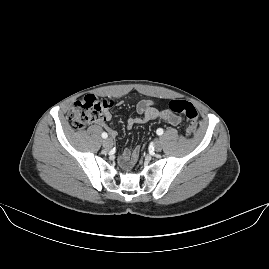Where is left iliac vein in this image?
<instances>
[{
	"label": "left iliac vein",
	"instance_id": "4c4485c4",
	"mask_svg": "<svg viewBox=\"0 0 269 269\" xmlns=\"http://www.w3.org/2000/svg\"><path fill=\"white\" fill-rule=\"evenodd\" d=\"M154 148H155V151L156 152H160V151H162V149H163V143H162V141L161 140H156L155 141V144H154Z\"/></svg>",
	"mask_w": 269,
	"mask_h": 269
}]
</instances>
